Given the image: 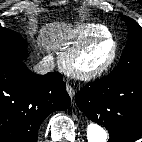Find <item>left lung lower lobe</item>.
<instances>
[{
	"label": "left lung lower lobe",
	"instance_id": "left-lung-lower-lobe-1",
	"mask_svg": "<svg viewBox=\"0 0 142 142\" xmlns=\"http://www.w3.org/2000/svg\"><path fill=\"white\" fill-rule=\"evenodd\" d=\"M88 119L104 125L108 142H132L142 135V71L107 75L76 95Z\"/></svg>",
	"mask_w": 142,
	"mask_h": 142
}]
</instances>
